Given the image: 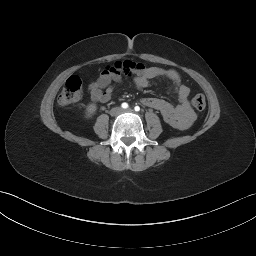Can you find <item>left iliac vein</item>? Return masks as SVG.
<instances>
[{
    "label": "left iliac vein",
    "instance_id": "left-iliac-vein-1",
    "mask_svg": "<svg viewBox=\"0 0 256 256\" xmlns=\"http://www.w3.org/2000/svg\"><path fill=\"white\" fill-rule=\"evenodd\" d=\"M125 112H133V109L128 108V109L125 110Z\"/></svg>",
    "mask_w": 256,
    "mask_h": 256
}]
</instances>
